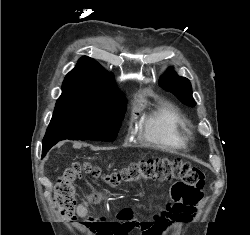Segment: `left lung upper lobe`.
I'll use <instances>...</instances> for the list:
<instances>
[{
  "instance_id": "left-lung-upper-lobe-1",
  "label": "left lung upper lobe",
  "mask_w": 250,
  "mask_h": 235,
  "mask_svg": "<svg viewBox=\"0 0 250 235\" xmlns=\"http://www.w3.org/2000/svg\"><path fill=\"white\" fill-rule=\"evenodd\" d=\"M159 85L164 90L173 92L185 105L191 107L196 105L192 97L190 81L187 78L178 76L172 68L160 78Z\"/></svg>"
}]
</instances>
